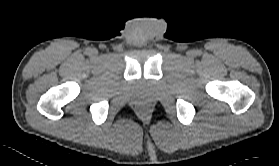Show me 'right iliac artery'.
Returning <instances> with one entry per match:
<instances>
[{"instance_id":"82829eb1","label":"right iliac artery","mask_w":279,"mask_h":166,"mask_svg":"<svg viewBox=\"0 0 279 166\" xmlns=\"http://www.w3.org/2000/svg\"><path fill=\"white\" fill-rule=\"evenodd\" d=\"M87 53H91V49L90 48L87 49Z\"/></svg>"}]
</instances>
